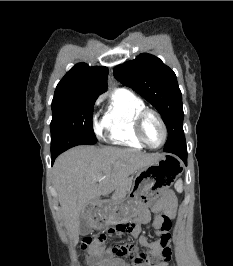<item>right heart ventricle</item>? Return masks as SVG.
<instances>
[{
	"label": "right heart ventricle",
	"instance_id": "e07e8e85",
	"mask_svg": "<svg viewBox=\"0 0 233 266\" xmlns=\"http://www.w3.org/2000/svg\"><path fill=\"white\" fill-rule=\"evenodd\" d=\"M146 108L144 101L125 88L115 89L109 98L102 124L109 142L116 145L142 149L134 131L135 119Z\"/></svg>",
	"mask_w": 233,
	"mask_h": 266
}]
</instances>
